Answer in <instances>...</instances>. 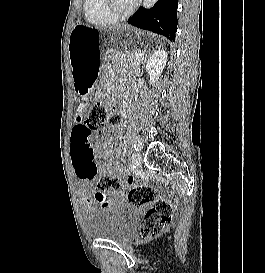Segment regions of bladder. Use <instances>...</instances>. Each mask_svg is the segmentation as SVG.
Here are the masks:
<instances>
[{"label":"bladder","instance_id":"bladder-1","mask_svg":"<svg viewBox=\"0 0 265 273\" xmlns=\"http://www.w3.org/2000/svg\"><path fill=\"white\" fill-rule=\"evenodd\" d=\"M137 224V208L123 203L94 209L83 218L88 237L117 243L128 240L136 232Z\"/></svg>","mask_w":265,"mask_h":273}]
</instances>
